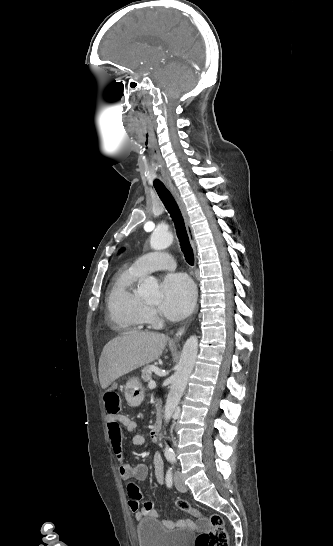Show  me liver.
<instances>
[{
    "instance_id": "liver-1",
    "label": "liver",
    "mask_w": 333,
    "mask_h": 546,
    "mask_svg": "<svg viewBox=\"0 0 333 546\" xmlns=\"http://www.w3.org/2000/svg\"><path fill=\"white\" fill-rule=\"evenodd\" d=\"M163 334L132 332L116 337L103 348L99 359V380L103 389L120 376L156 360L163 352Z\"/></svg>"
}]
</instances>
